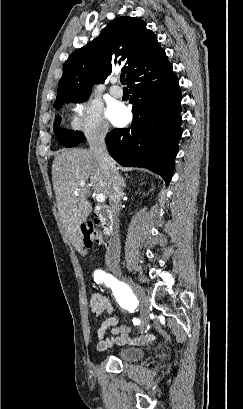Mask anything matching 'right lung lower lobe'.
<instances>
[{
	"mask_svg": "<svg viewBox=\"0 0 243 409\" xmlns=\"http://www.w3.org/2000/svg\"><path fill=\"white\" fill-rule=\"evenodd\" d=\"M129 88L134 119L107 135L110 155L122 166L148 168L168 184L182 135L179 81L169 66Z\"/></svg>",
	"mask_w": 243,
	"mask_h": 409,
	"instance_id": "98d812e1",
	"label": "right lung lower lobe"
}]
</instances>
